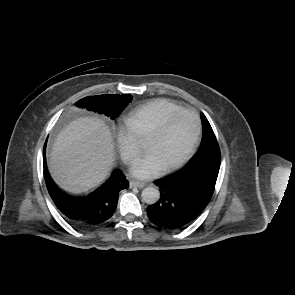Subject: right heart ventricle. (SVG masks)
Listing matches in <instances>:
<instances>
[{
    "mask_svg": "<svg viewBox=\"0 0 295 295\" xmlns=\"http://www.w3.org/2000/svg\"><path fill=\"white\" fill-rule=\"evenodd\" d=\"M182 107L170 100L157 99L148 102L124 117L125 126L138 140H145L172 112Z\"/></svg>",
    "mask_w": 295,
    "mask_h": 295,
    "instance_id": "right-heart-ventricle-1",
    "label": "right heart ventricle"
}]
</instances>
